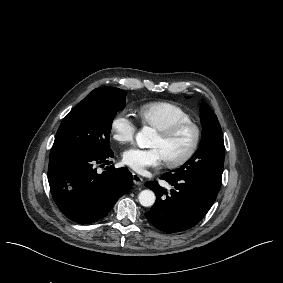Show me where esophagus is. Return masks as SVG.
<instances>
[{"mask_svg": "<svg viewBox=\"0 0 283 283\" xmlns=\"http://www.w3.org/2000/svg\"><path fill=\"white\" fill-rule=\"evenodd\" d=\"M132 176H133V183L135 185H142L143 184V179L141 178V176H139L138 174L136 173H132Z\"/></svg>", "mask_w": 283, "mask_h": 283, "instance_id": "1", "label": "esophagus"}]
</instances>
